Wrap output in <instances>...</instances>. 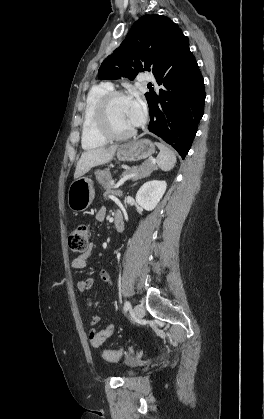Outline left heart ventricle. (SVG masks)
<instances>
[{"instance_id": "left-heart-ventricle-1", "label": "left heart ventricle", "mask_w": 264, "mask_h": 419, "mask_svg": "<svg viewBox=\"0 0 264 419\" xmlns=\"http://www.w3.org/2000/svg\"><path fill=\"white\" fill-rule=\"evenodd\" d=\"M110 118L113 128L118 132H124L134 127L129 117L128 98H117L112 102Z\"/></svg>"}]
</instances>
